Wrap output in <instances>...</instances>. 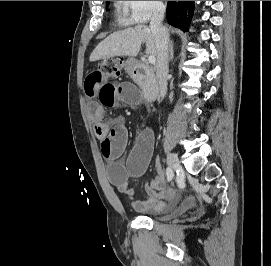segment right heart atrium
I'll list each match as a JSON object with an SVG mask.
<instances>
[{"label": "right heart atrium", "instance_id": "right-heart-atrium-1", "mask_svg": "<svg viewBox=\"0 0 271 266\" xmlns=\"http://www.w3.org/2000/svg\"><path fill=\"white\" fill-rule=\"evenodd\" d=\"M121 4L130 24H144L164 9L162 1H121Z\"/></svg>", "mask_w": 271, "mask_h": 266}]
</instances>
